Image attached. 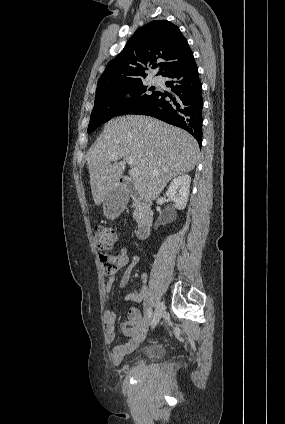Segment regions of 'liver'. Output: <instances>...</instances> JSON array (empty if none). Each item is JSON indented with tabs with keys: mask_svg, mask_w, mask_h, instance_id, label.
Wrapping results in <instances>:
<instances>
[{
	"mask_svg": "<svg viewBox=\"0 0 285 424\" xmlns=\"http://www.w3.org/2000/svg\"><path fill=\"white\" fill-rule=\"evenodd\" d=\"M117 153L112 164L109 157ZM199 155L195 138L158 119L139 115L117 117L87 153L91 192L99 206L116 188L128 158L140 171L135 189L141 199L155 200L169 181L194 169Z\"/></svg>",
	"mask_w": 285,
	"mask_h": 424,
	"instance_id": "1",
	"label": "liver"
}]
</instances>
